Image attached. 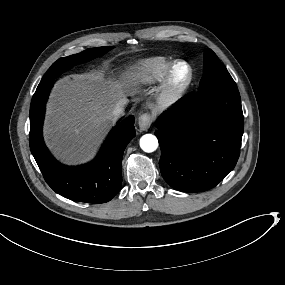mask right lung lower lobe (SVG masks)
Returning a JSON list of instances; mask_svg holds the SVG:
<instances>
[{"mask_svg":"<svg viewBox=\"0 0 285 285\" xmlns=\"http://www.w3.org/2000/svg\"><path fill=\"white\" fill-rule=\"evenodd\" d=\"M53 84L37 87L30 105V150L47 184L59 195L86 203L110 201L121 189L122 157L135 137L134 116H129L109 134L96 158L80 166L59 163L45 146L42 126L45 103Z\"/></svg>","mask_w":285,"mask_h":285,"instance_id":"1","label":"right lung lower lobe"}]
</instances>
